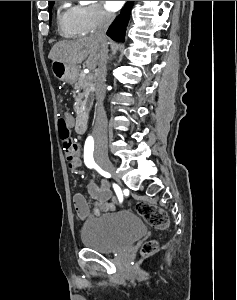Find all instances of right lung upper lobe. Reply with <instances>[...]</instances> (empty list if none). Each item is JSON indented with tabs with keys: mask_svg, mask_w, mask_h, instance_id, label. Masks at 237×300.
<instances>
[{
	"mask_svg": "<svg viewBox=\"0 0 237 300\" xmlns=\"http://www.w3.org/2000/svg\"><path fill=\"white\" fill-rule=\"evenodd\" d=\"M53 1H49V4L52 3Z\"/></svg>",
	"mask_w": 237,
	"mask_h": 300,
	"instance_id": "1",
	"label": "right lung upper lobe"
}]
</instances>
